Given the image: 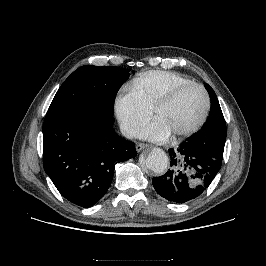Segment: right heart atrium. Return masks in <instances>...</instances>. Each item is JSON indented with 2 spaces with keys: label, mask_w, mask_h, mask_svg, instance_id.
<instances>
[{
  "label": "right heart atrium",
  "mask_w": 266,
  "mask_h": 266,
  "mask_svg": "<svg viewBox=\"0 0 266 266\" xmlns=\"http://www.w3.org/2000/svg\"><path fill=\"white\" fill-rule=\"evenodd\" d=\"M114 109L123 133L132 137L151 117L152 111L140 97L127 88L115 98Z\"/></svg>",
  "instance_id": "right-heart-atrium-1"
}]
</instances>
